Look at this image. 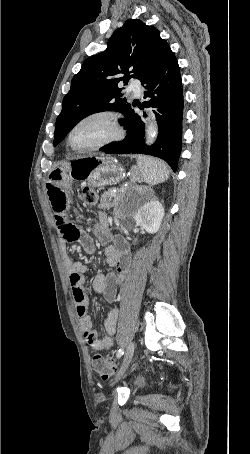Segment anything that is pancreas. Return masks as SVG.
I'll list each match as a JSON object with an SVG mask.
<instances>
[{"instance_id":"pancreas-1","label":"pancreas","mask_w":250,"mask_h":454,"mask_svg":"<svg viewBox=\"0 0 250 454\" xmlns=\"http://www.w3.org/2000/svg\"><path fill=\"white\" fill-rule=\"evenodd\" d=\"M117 201H118V194L116 193V191L108 190L102 194L99 208L110 209L111 207H113L117 204ZM102 216H105V215L102 214Z\"/></svg>"}]
</instances>
